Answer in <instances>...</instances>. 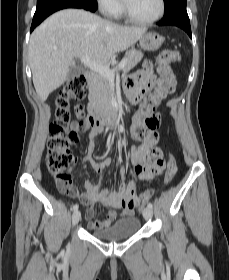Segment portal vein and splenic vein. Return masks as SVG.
<instances>
[{"instance_id": "obj_1", "label": "portal vein and splenic vein", "mask_w": 229, "mask_h": 280, "mask_svg": "<svg viewBox=\"0 0 229 280\" xmlns=\"http://www.w3.org/2000/svg\"><path fill=\"white\" fill-rule=\"evenodd\" d=\"M80 61L91 70L99 73L104 77H107L110 80H114L115 71L123 69L126 65L127 59L123 58L122 61L118 64V66L114 69H110L109 67H107L102 63L95 62L91 60L90 57L88 56H81Z\"/></svg>"}]
</instances>
